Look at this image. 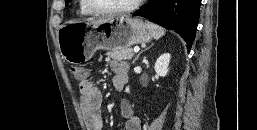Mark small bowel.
<instances>
[{
  "label": "small bowel",
  "instance_id": "c3829d8e",
  "mask_svg": "<svg viewBox=\"0 0 257 130\" xmlns=\"http://www.w3.org/2000/svg\"><path fill=\"white\" fill-rule=\"evenodd\" d=\"M128 68V64L124 61L112 63L113 84L117 91H121L127 82ZM79 91L81 110L87 129L102 130V94L100 90L90 80L85 79L80 81ZM120 112L125 119L124 130H141V120L135 115L131 104L127 100L120 102Z\"/></svg>",
  "mask_w": 257,
  "mask_h": 130
}]
</instances>
